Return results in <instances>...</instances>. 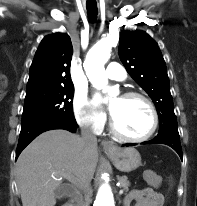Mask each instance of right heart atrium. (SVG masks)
Wrapping results in <instances>:
<instances>
[{
  "label": "right heart atrium",
  "mask_w": 197,
  "mask_h": 206,
  "mask_svg": "<svg viewBox=\"0 0 197 206\" xmlns=\"http://www.w3.org/2000/svg\"><path fill=\"white\" fill-rule=\"evenodd\" d=\"M73 111L78 124L95 133L102 131L106 117L98 111L86 92H77L73 99Z\"/></svg>",
  "instance_id": "d8ad5b80"
}]
</instances>
